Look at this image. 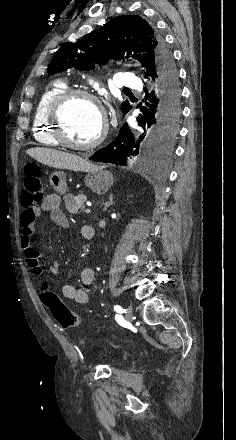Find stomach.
I'll return each mask as SVG.
<instances>
[{"instance_id": "stomach-1", "label": "stomach", "mask_w": 236, "mask_h": 440, "mask_svg": "<svg viewBox=\"0 0 236 440\" xmlns=\"http://www.w3.org/2000/svg\"><path fill=\"white\" fill-rule=\"evenodd\" d=\"M49 181L58 194L62 195L66 193V174L63 171L52 172ZM84 182L93 192L104 194L111 188L114 179L109 171L102 167H96L86 174Z\"/></svg>"}]
</instances>
